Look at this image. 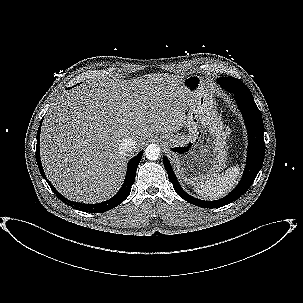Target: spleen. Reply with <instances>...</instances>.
Instances as JSON below:
<instances>
[{
	"label": "spleen",
	"instance_id": "obj_1",
	"mask_svg": "<svg viewBox=\"0 0 303 303\" xmlns=\"http://www.w3.org/2000/svg\"><path fill=\"white\" fill-rule=\"evenodd\" d=\"M239 173L240 168L238 166L228 168L225 173L196 184L194 190L204 199H219L231 190L236 183Z\"/></svg>",
	"mask_w": 303,
	"mask_h": 303
}]
</instances>
